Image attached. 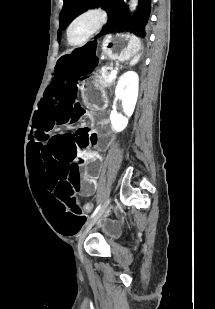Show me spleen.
<instances>
[{
	"label": "spleen",
	"mask_w": 215,
	"mask_h": 309,
	"mask_svg": "<svg viewBox=\"0 0 215 309\" xmlns=\"http://www.w3.org/2000/svg\"><path fill=\"white\" fill-rule=\"evenodd\" d=\"M140 56H141V54H137V56H134V58H132V60H130L129 64H136V62H139Z\"/></svg>",
	"instance_id": "obj_1"
}]
</instances>
